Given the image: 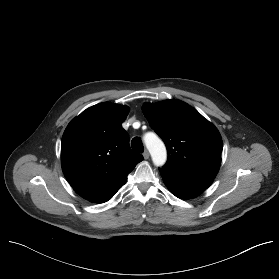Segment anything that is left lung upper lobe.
I'll list each match as a JSON object with an SVG mask.
<instances>
[{"label":"left lung upper lobe","mask_w":279,"mask_h":279,"mask_svg":"<svg viewBox=\"0 0 279 279\" xmlns=\"http://www.w3.org/2000/svg\"><path fill=\"white\" fill-rule=\"evenodd\" d=\"M151 128L163 139L165 168L186 176L214 179L221 163L222 139L216 127L182 101L143 105Z\"/></svg>","instance_id":"obj_1"}]
</instances>
